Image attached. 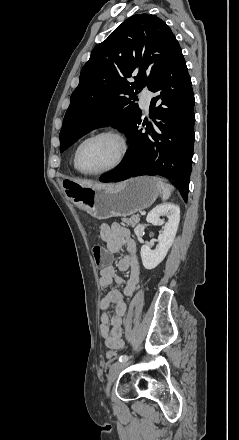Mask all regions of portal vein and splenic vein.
Segmentation results:
<instances>
[{
	"instance_id": "1",
	"label": "portal vein and splenic vein",
	"mask_w": 239,
	"mask_h": 440,
	"mask_svg": "<svg viewBox=\"0 0 239 440\" xmlns=\"http://www.w3.org/2000/svg\"><path fill=\"white\" fill-rule=\"evenodd\" d=\"M146 212H147L146 210H145V211H142V212H141V215H144Z\"/></svg>"
}]
</instances>
